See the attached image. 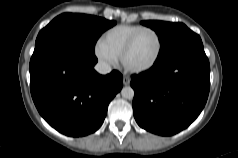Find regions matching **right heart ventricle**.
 I'll return each instance as SVG.
<instances>
[{"instance_id": "obj_1", "label": "right heart ventricle", "mask_w": 238, "mask_h": 158, "mask_svg": "<svg viewBox=\"0 0 238 158\" xmlns=\"http://www.w3.org/2000/svg\"><path fill=\"white\" fill-rule=\"evenodd\" d=\"M141 28L143 26L130 24L114 26L103 34L100 42L116 57H120L130 37Z\"/></svg>"}]
</instances>
